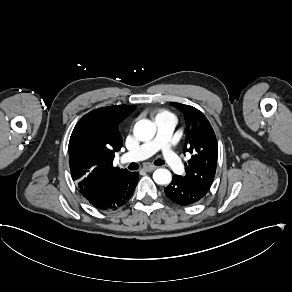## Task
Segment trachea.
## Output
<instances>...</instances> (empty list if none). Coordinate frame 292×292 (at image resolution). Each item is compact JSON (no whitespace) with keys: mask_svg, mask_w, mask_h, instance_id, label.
<instances>
[{"mask_svg":"<svg viewBox=\"0 0 292 292\" xmlns=\"http://www.w3.org/2000/svg\"><path fill=\"white\" fill-rule=\"evenodd\" d=\"M154 164L157 166H161L165 164V161L162 159H157L154 161ZM139 168V165L137 163H130L128 166L129 170H137Z\"/></svg>","mask_w":292,"mask_h":292,"instance_id":"1","label":"trachea"}]
</instances>
